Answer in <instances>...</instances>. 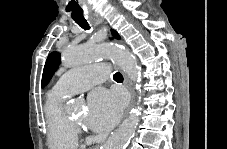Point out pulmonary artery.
<instances>
[{"mask_svg": "<svg viewBox=\"0 0 227 149\" xmlns=\"http://www.w3.org/2000/svg\"><path fill=\"white\" fill-rule=\"evenodd\" d=\"M107 72L105 64L76 67L63 74L53 89L67 96L84 92L93 85L105 81Z\"/></svg>", "mask_w": 227, "mask_h": 149, "instance_id": "e3ab8cb5", "label": "pulmonary artery"}]
</instances>
